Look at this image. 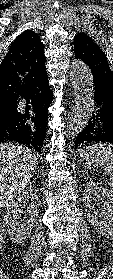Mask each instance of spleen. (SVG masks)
Listing matches in <instances>:
<instances>
[{"mask_svg":"<svg viewBox=\"0 0 113 279\" xmlns=\"http://www.w3.org/2000/svg\"><path fill=\"white\" fill-rule=\"evenodd\" d=\"M81 162L87 169L101 168L110 177V190L113 192V145L94 144L79 151Z\"/></svg>","mask_w":113,"mask_h":279,"instance_id":"obj_1","label":"spleen"}]
</instances>
